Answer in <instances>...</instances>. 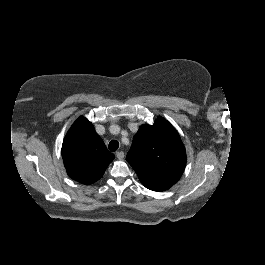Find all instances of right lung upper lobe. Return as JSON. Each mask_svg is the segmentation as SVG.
Returning a JSON list of instances; mask_svg holds the SVG:
<instances>
[{
	"instance_id": "obj_1",
	"label": "right lung upper lobe",
	"mask_w": 265,
	"mask_h": 265,
	"mask_svg": "<svg viewBox=\"0 0 265 265\" xmlns=\"http://www.w3.org/2000/svg\"><path fill=\"white\" fill-rule=\"evenodd\" d=\"M62 158L69 177L90 185L99 180L113 161L103 140L86 118H78L62 145Z\"/></svg>"
}]
</instances>
